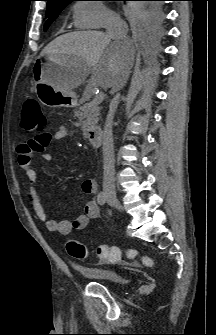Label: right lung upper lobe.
<instances>
[{"mask_svg": "<svg viewBox=\"0 0 216 335\" xmlns=\"http://www.w3.org/2000/svg\"><path fill=\"white\" fill-rule=\"evenodd\" d=\"M48 3L47 5L49 4H54V3H60V2H71L73 0H46Z\"/></svg>", "mask_w": 216, "mask_h": 335, "instance_id": "right-lung-upper-lobe-1", "label": "right lung upper lobe"}]
</instances>
